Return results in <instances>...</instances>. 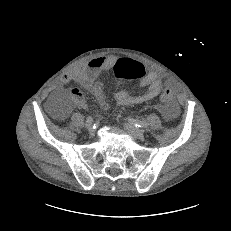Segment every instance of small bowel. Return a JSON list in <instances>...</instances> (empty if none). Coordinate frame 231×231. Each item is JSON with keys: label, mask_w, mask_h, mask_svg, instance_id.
Masks as SVG:
<instances>
[{"label": "small bowel", "mask_w": 231, "mask_h": 231, "mask_svg": "<svg viewBox=\"0 0 231 231\" xmlns=\"http://www.w3.org/2000/svg\"><path fill=\"white\" fill-rule=\"evenodd\" d=\"M116 61L117 59L114 56L93 58L87 64L63 74L57 87L69 82H77L86 90L92 91L97 96L100 105L105 106L102 95L94 90V84L98 76L102 72L110 70L115 65ZM165 84V81L158 72L149 69L139 81V85L145 88L143 93L131 94L126 91H118L114 94V100L117 104L122 106L142 104L157 97L165 87ZM71 95L77 106L86 108L87 104L79 89L73 88L71 90ZM178 111L179 109L176 103L169 104L161 109L162 115L167 120L176 118Z\"/></svg>", "instance_id": "1"}]
</instances>
